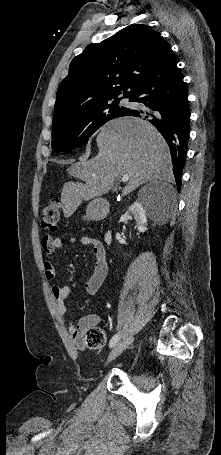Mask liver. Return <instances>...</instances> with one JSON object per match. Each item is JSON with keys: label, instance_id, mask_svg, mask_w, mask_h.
Listing matches in <instances>:
<instances>
[{"label": "liver", "instance_id": "obj_1", "mask_svg": "<svg viewBox=\"0 0 221 455\" xmlns=\"http://www.w3.org/2000/svg\"><path fill=\"white\" fill-rule=\"evenodd\" d=\"M96 142L99 150L96 157L69 168L71 176L85 183L63 185L61 203L66 218L83 200L108 193L115 179L125 174L130 179L123 195L148 181L173 179L169 147L148 121L130 116L111 120L100 129Z\"/></svg>", "mask_w": 221, "mask_h": 455}]
</instances>
